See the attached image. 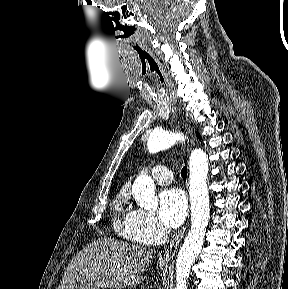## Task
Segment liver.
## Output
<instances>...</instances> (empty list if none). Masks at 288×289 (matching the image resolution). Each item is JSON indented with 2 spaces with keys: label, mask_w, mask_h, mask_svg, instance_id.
I'll use <instances>...</instances> for the list:
<instances>
[{
  "label": "liver",
  "mask_w": 288,
  "mask_h": 289,
  "mask_svg": "<svg viewBox=\"0 0 288 289\" xmlns=\"http://www.w3.org/2000/svg\"><path fill=\"white\" fill-rule=\"evenodd\" d=\"M153 250L103 237L83 248L68 264L57 289L136 287Z\"/></svg>",
  "instance_id": "1"
}]
</instances>
